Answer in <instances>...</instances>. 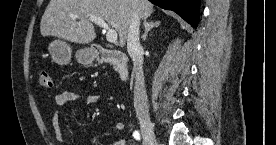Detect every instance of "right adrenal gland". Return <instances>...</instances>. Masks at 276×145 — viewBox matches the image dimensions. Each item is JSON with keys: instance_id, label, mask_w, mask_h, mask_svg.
<instances>
[{"instance_id": "right-adrenal-gland-1", "label": "right adrenal gland", "mask_w": 276, "mask_h": 145, "mask_svg": "<svg viewBox=\"0 0 276 145\" xmlns=\"http://www.w3.org/2000/svg\"><path fill=\"white\" fill-rule=\"evenodd\" d=\"M144 28H145V32L142 36V40L145 41L147 38L148 33L154 28V27H158L160 25V21H147L144 20L143 22Z\"/></svg>"}]
</instances>
